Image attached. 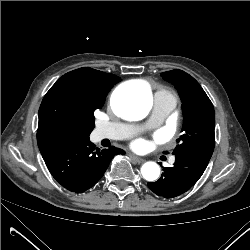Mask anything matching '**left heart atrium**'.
Instances as JSON below:
<instances>
[{
  "mask_svg": "<svg viewBox=\"0 0 250 250\" xmlns=\"http://www.w3.org/2000/svg\"><path fill=\"white\" fill-rule=\"evenodd\" d=\"M146 146V142L143 139L136 140L133 143L135 149H143Z\"/></svg>",
  "mask_w": 250,
  "mask_h": 250,
  "instance_id": "39dd6f15",
  "label": "left heart atrium"
}]
</instances>
